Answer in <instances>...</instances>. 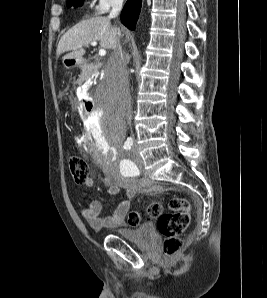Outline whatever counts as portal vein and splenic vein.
<instances>
[{"instance_id": "18ae733b", "label": "portal vein and splenic vein", "mask_w": 267, "mask_h": 298, "mask_svg": "<svg viewBox=\"0 0 267 298\" xmlns=\"http://www.w3.org/2000/svg\"><path fill=\"white\" fill-rule=\"evenodd\" d=\"M91 45H92V46H96V45H97V42H96V41H92V42H91ZM99 55H100V56H105V55H106V50H105V49H100V50H99Z\"/></svg>"}]
</instances>
